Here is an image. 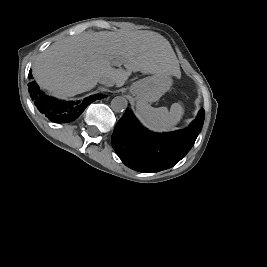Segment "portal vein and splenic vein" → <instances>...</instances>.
<instances>
[{"mask_svg":"<svg viewBox=\"0 0 267 267\" xmlns=\"http://www.w3.org/2000/svg\"><path fill=\"white\" fill-rule=\"evenodd\" d=\"M112 64L116 66V65H118V62L117 61H113Z\"/></svg>","mask_w":267,"mask_h":267,"instance_id":"obj_1","label":"portal vein and splenic vein"}]
</instances>
